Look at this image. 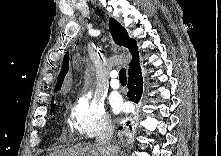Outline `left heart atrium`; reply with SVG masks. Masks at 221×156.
Here are the masks:
<instances>
[{
    "label": "left heart atrium",
    "mask_w": 221,
    "mask_h": 156,
    "mask_svg": "<svg viewBox=\"0 0 221 156\" xmlns=\"http://www.w3.org/2000/svg\"><path fill=\"white\" fill-rule=\"evenodd\" d=\"M113 108L116 112H120L124 110L125 104L123 103L121 99L117 98L113 101Z\"/></svg>",
    "instance_id": "left-heart-atrium-1"
}]
</instances>
